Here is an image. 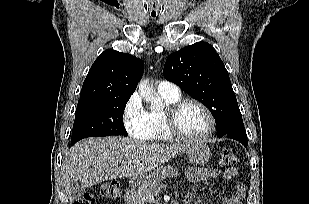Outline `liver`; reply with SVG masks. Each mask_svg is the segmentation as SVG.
Masks as SVG:
<instances>
[{
	"label": "liver",
	"instance_id": "liver-1",
	"mask_svg": "<svg viewBox=\"0 0 309 204\" xmlns=\"http://www.w3.org/2000/svg\"><path fill=\"white\" fill-rule=\"evenodd\" d=\"M186 144L158 145L127 137L88 138L65 154L62 179L70 201L78 182L90 187L104 181L140 177L183 153Z\"/></svg>",
	"mask_w": 309,
	"mask_h": 204
}]
</instances>
